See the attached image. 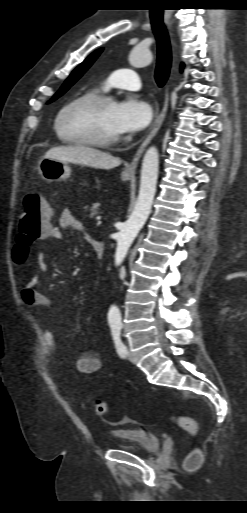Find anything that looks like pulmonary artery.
Masks as SVG:
<instances>
[{
	"label": "pulmonary artery",
	"mask_w": 247,
	"mask_h": 513,
	"mask_svg": "<svg viewBox=\"0 0 247 513\" xmlns=\"http://www.w3.org/2000/svg\"><path fill=\"white\" fill-rule=\"evenodd\" d=\"M123 88L139 90L141 81L136 71L132 69H119L113 71L105 81V88Z\"/></svg>",
	"instance_id": "1"
}]
</instances>
